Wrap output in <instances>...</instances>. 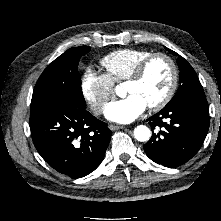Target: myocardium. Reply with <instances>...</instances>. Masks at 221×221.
I'll return each instance as SVG.
<instances>
[{"mask_svg":"<svg viewBox=\"0 0 221 221\" xmlns=\"http://www.w3.org/2000/svg\"><path fill=\"white\" fill-rule=\"evenodd\" d=\"M156 58H163L168 62L171 68L172 76H171V82H170L169 88L167 92L165 93V95L158 102L148 106V108L151 111H158L164 108L171 101V99L173 98L176 92V89L178 86V80H179V71H178V67L174 59L168 54L163 53V52L152 53L137 64L132 74L126 80V83L138 82L139 80H141L148 65Z\"/></svg>","mask_w":221,"mask_h":221,"instance_id":"f54148a6","label":"myocardium"}]
</instances>
